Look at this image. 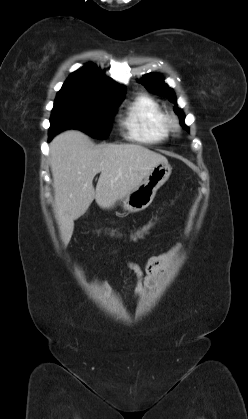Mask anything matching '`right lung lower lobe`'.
<instances>
[{
	"label": "right lung lower lobe",
	"mask_w": 248,
	"mask_h": 419,
	"mask_svg": "<svg viewBox=\"0 0 248 419\" xmlns=\"http://www.w3.org/2000/svg\"><path fill=\"white\" fill-rule=\"evenodd\" d=\"M53 137H51L50 135H49V140H51Z\"/></svg>",
	"instance_id": "98d812e1"
}]
</instances>
